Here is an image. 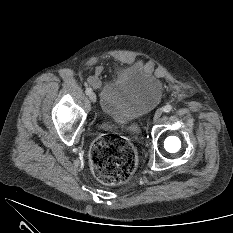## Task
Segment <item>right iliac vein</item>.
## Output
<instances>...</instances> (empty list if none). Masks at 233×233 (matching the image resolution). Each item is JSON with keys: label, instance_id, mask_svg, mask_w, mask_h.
Returning a JSON list of instances; mask_svg holds the SVG:
<instances>
[{"label": "right iliac vein", "instance_id": "right-iliac-vein-1", "mask_svg": "<svg viewBox=\"0 0 233 233\" xmlns=\"http://www.w3.org/2000/svg\"><path fill=\"white\" fill-rule=\"evenodd\" d=\"M89 99L91 100V102L95 103V102H96V99H97L96 94L91 93V94L89 95Z\"/></svg>", "mask_w": 233, "mask_h": 233}]
</instances>
